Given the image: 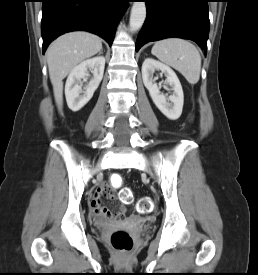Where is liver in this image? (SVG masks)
I'll return each mask as SVG.
<instances>
[{
  "mask_svg": "<svg viewBox=\"0 0 258 275\" xmlns=\"http://www.w3.org/2000/svg\"><path fill=\"white\" fill-rule=\"evenodd\" d=\"M102 40L87 32L64 34L51 43L47 50L49 76L59 111L63 104V79L79 63L100 52Z\"/></svg>",
  "mask_w": 258,
  "mask_h": 275,
  "instance_id": "6515ba94",
  "label": "liver"
}]
</instances>
